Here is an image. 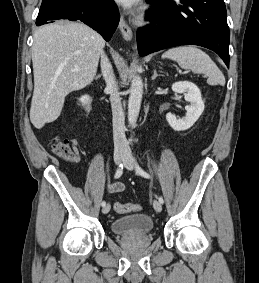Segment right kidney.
Here are the masks:
<instances>
[{"mask_svg":"<svg viewBox=\"0 0 259 283\" xmlns=\"http://www.w3.org/2000/svg\"><path fill=\"white\" fill-rule=\"evenodd\" d=\"M79 101L81 102L82 106L86 109V111H90L91 109V102L92 98L88 95L82 96Z\"/></svg>","mask_w":259,"mask_h":283,"instance_id":"1","label":"right kidney"}]
</instances>
